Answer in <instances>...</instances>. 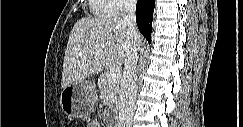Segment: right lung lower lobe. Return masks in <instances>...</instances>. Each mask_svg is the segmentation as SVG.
I'll return each instance as SVG.
<instances>
[{"label": "right lung lower lobe", "instance_id": "right-lung-lower-lobe-1", "mask_svg": "<svg viewBox=\"0 0 243 127\" xmlns=\"http://www.w3.org/2000/svg\"><path fill=\"white\" fill-rule=\"evenodd\" d=\"M154 7V0H138L136 7L137 26L149 43L151 42V28Z\"/></svg>", "mask_w": 243, "mask_h": 127}]
</instances>
